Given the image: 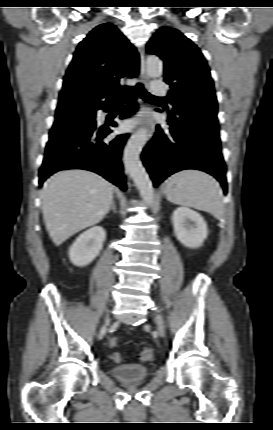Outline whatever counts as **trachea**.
<instances>
[{"mask_svg":"<svg viewBox=\"0 0 273 430\" xmlns=\"http://www.w3.org/2000/svg\"><path fill=\"white\" fill-rule=\"evenodd\" d=\"M136 90L139 93L140 97L144 100H159V99H163L161 97H156L154 95H151L150 93H148L143 85L141 83L136 84ZM118 93V97L117 100L118 101H123L127 98V93L125 88H120L117 90Z\"/></svg>","mask_w":273,"mask_h":430,"instance_id":"obj_1","label":"trachea"}]
</instances>
